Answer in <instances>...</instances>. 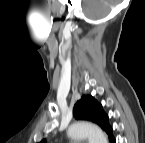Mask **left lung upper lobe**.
Wrapping results in <instances>:
<instances>
[{
  "instance_id": "5c2ea615",
  "label": "left lung upper lobe",
  "mask_w": 145,
  "mask_h": 143,
  "mask_svg": "<svg viewBox=\"0 0 145 143\" xmlns=\"http://www.w3.org/2000/svg\"><path fill=\"white\" fill-rule=\"evenodd\" d=\"M73 115L78 120H87L98 124L108 134L109 138L113 137L112 128L108 123V116L92 96H83L76 103ZM41 142L45 143L46 141L42 140Z\"/></svg>"
}]
</instances>
